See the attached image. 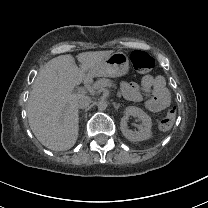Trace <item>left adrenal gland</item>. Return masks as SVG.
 <instances>
[{"mask_svg":"<svg viewBox=\"0 0 208 208\" xmlns=\"http://www.w3.org/2000/svg\"><path fill=\"white\" fill-rule=\"evenodd\" d=\"M120 107V104H115L114 103V108L117 110Z\"/></svg>","mask_w":208,"mask_h":208,"instance_id":"a2214340","label":"left adrenal gland"}]
</instances>
